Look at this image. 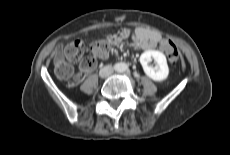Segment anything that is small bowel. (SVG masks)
<instances>
[{"mask_svg": "<svg viewBox=\"0 0 230 155\" xmlns=\"http://www.w3.org/2000/svg\"><path fill=\"white\" fill-rule=\"evenodd\" d=\"M127 39L132 40L135 48L151 50L157 47V41L163 38L160 32L153 29L144 28V27H139L136 29L123 28L114 34L108 35L106 38V42L109 44V46L118 45ZM162 51L164 52V49ZM99 57L101 59L107 58L108 52H106L105 54ZM91 70L92 69L86 70L82 68L83 72H89Z\"/></svg>", "mask_w": 230, "mask_h": 155, "instance_id": "small-bowel-1", "label": "small bowel"}]
</instances>
